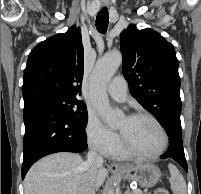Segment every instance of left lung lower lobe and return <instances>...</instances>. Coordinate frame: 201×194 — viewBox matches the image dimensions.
I'll return each mask as SVG.
<instances>
[{
  "label": "left lung lower lobe",
  "mask_w": 201,
  "mask_h": 194,
  "mask_svg": "<svg viewBox=\"0 0 201 194\" xmlns=\"http://www.w3.org/2000/svg\"><path fill=\"white\" fill-rule=\"evenodd\" d=\"M162 126L166 130L170 140V148L165 154L162 155V158L174 159L185 169L186 172H188L182 144V128L180 119L170 118Z\"/></svg>",
  "instance_id": "obj_1"
}]
</instances>
